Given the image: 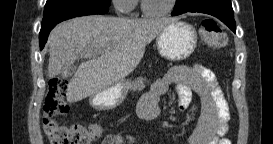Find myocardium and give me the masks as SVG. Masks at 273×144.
Here are the masks:
<instances>
[{
	"instance_id": "f54148a6",
	"label": "myocardium",
	"mask_w": 273,
	"mask_h": 144,
	"mask_svg": "<svg viewBox=\"0 0 273 144\" xmlns=\"http://www.w3.org/2000/svg\"><path fill=\"white\" fill-rule=\"evenodd\" d=\"M178 0H171L169 5L161 10H150L145 0H141V10L144 14L149 16H161L173 11Z\"/></svg>"
}]
</instances>
